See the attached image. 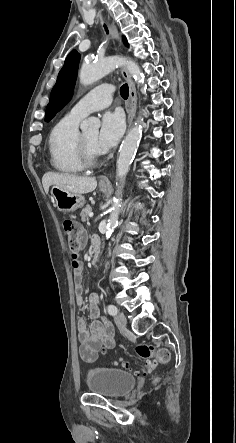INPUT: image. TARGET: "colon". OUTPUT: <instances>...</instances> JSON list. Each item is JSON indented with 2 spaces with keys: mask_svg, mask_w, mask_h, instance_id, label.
Segmentation results:
<instances>
[{
  "mask_svg": "<svg viewBox=\"0 0 236 443\" xmlns=\"http://www.w3.org/2000/svg\"><path fill=\"white\" fill-rule=\"evenodd\" d=\"M63 229L67 235L68 244L73 252L71 264L74 269V273L77 277L81 273V265L79 263V258L76 254V250L80 245V241L83 235V230L81 225L72 218H65L63 220ZM136 352L140 358L144 361V371H150L154 365V361L161 363H169L171 356L168 350L155 348L153 345L141 343L136 347ZM87 359H92V356L88 353L84 354ZM83 358V357H82ZM123 366H127L128 363L119 361Z\"/></svg>",
  "mask_w": 236,
  "mask_h": 443,
  "instance_id": "5ec220e1",
  "label": "colon"
}]
</instances>
